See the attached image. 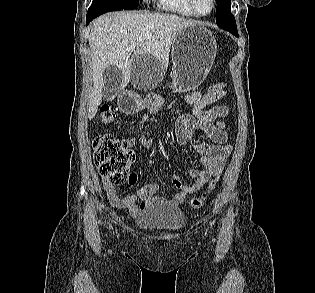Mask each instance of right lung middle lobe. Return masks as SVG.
Returning <instances> with one entry per match:
<instances>
[{"instance_id":"right-lung-middle-lobe-1","label":"right lung middle lobe","mask_w":315,"mask_h":293,"mask_svg":"<svg viewBox=\"0 0 315 293\" xmlns=\"http://www.w3.org/2000/svg\"><path fill=\"white\" fill-rule=\"evenodd\" d=\"M97 1H109L126 9H135L139 5V0H93V2Z\"/></svg>"}]
</instances>
